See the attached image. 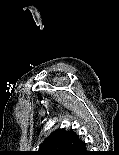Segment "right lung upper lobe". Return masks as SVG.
<instances>
[{
  "label": "right lung upper lobe",
  "mask_w": 119,
  "mask_h": 155,
  "mask_svg": "<svg viewBox=\"0 0 119 155\" xmlns=\"http://www.w3.org/2000/svg\"><path fill=\"white\" fill-rule=\"evenodd\" d=\"M78 141L79 136L73 130L58 129L43 141L35 155H64Z\"/></svg>",
  "instance_id": "1"
}]
</instances>
